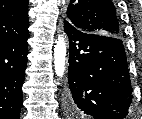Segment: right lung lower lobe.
<instances>
[{
  "label": "right lung lower lobe",
  "instance_id": "right-lung-lower-lobe-1",
  "mask_svg": "<svg viewBox=\"0 0 142 119\" xmlns=\"http://www.w3.org/2000/svg\"><path fill=\"white\" fill-rule=\"evenodd\" d=\"M29 34L0 44V119H19Z\"/></svg>",
  "mask_w": 142,
  "mask_h": 119
}]
</instances>
